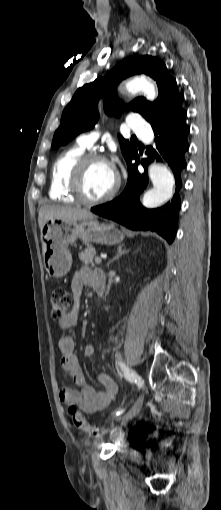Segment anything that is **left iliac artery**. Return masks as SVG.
Here are the masks:
<instances>
[{
  "label": "left iliac artery",
  "mask_w": 221,
  "mask_h": 510,
  "mask_svg": "<svg viewBox=\"0 0 221 510\" xmlns=\"http://www.w3.org/2000/svg\"><path fill=\"white\" fill-rule=\"evenodd\" d=\"M117 364L121 367L125 378L129 382H135L139 388L143 386V381L141 377L132 369H130L128 366L125 365L123 361H117ZM123 412V410H117L116 415H120Z\"/></svg>",
  "instance_id": "1"
}]
</instances>
